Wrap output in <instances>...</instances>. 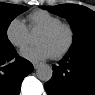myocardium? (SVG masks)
Listing matches in <instances>:
<instances>
[{"mask_svg":"<svg viewBox=\"0 0 95 95\" xmlns=\"http://www.w3.org/2000/svg\"><path fill=\"white\" fill-rule=\"evenodd\" d=\"M61 29L67 30L69 38H68V42H67L66 46L61 51L52 55V57L54 59H60V58L64 57L72 49L74 42H75V30L72 27V25L61 22L59 24L48 27L41 31V33H44L47 35H52Z\"/></svg>","mask_w":95,"mask_h":95,"instance_id":"1","label":"myocardium"}]
</instances>
